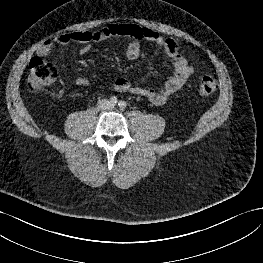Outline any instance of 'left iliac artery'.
I'll use <instances>...</instances> for the list:
<instances>
[{"instance_id": "44dca946", "label": "left iliac artery", "mask_w": 263, "mask_h": 263, "mask_svg": "<svg viewBox=\"0 0 263 263\" xmlns=\"http://www.w3.org/2000/svg\"><path fill=\"white\" fill-rule=\"evenodd\" d=\"M118 105H119V107H120L121 109H124L127 104H126L125 101H120V102L118 103Z\"/></svg>"}]
</instances>
